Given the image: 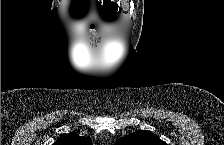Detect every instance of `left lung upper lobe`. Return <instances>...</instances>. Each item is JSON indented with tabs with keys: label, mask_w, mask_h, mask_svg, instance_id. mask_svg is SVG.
Returning <instances> with one entry per match:
<instances>
[{
	"label": "left lung upper lobe",
	"mask_w": 224,
	"mask_h": 145,
	"mask_svg": "<svg viewBox=\"0 0 224 145\" xmlns=\"http://www.w3.org/2000/svg\"><path fill=\"white\" fill-rule=\"evenodd\" d=\"M116 145H166L150 131H138L119 139Z\"/></svg>",
	"instance_id": "5c2ea615"
}]
</instances>
